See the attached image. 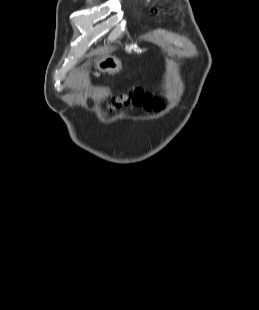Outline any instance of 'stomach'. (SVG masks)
I'll list each match as a JSON object with an SVG mask.
<instances>
[{"mask_svg": "<svg viewBox=\"0 0 259 310\" xmlns=\"http://www.w3.org/2000/svg\"><path fill=\"white\" fill-rule=\"evenodd\" d=\"M95 68L101 72L115 73L122 68V63L116 57L107 55L95 60Z\"/></svg>", "mask_w": 259, "mask_h": 310, "instance_id": "stomach-1", "label": "stomach"}]
</instances>
